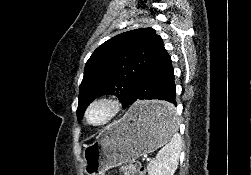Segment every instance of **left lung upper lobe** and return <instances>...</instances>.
<instances>
[{
  "label": "left lung upper lobe",
  "mask_w": 251,
  "mask_h": 175,
  "mask_svg": "<svg viewBox=\"0 0 251 175\" xmlns=\"http://www.w3.org/2000/svg\"><path fill=\"white\" fill-rule=\"evenodd\" d=\"M166 52L153 28L121 33L99 46L85 65L79 90L78 120L97 97L116 95L124 104L140 78Z\"/></svg>",
  "instance_id": "5c2ea615"
}]
</instances>
